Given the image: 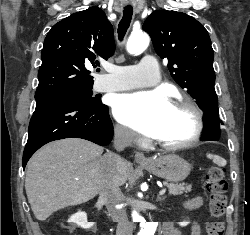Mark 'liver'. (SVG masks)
Segmentation results:
<instances>
[{"label": "liver", "mask_w": 250, "mask_h": 235, "mask_svg": "<svg viewBox=\"0 0 250 235\" xmlns=\"http://www.w3.org/2000/svg\"><path fill=\"white\" fill-rule=\"evenodd\" d=\"M103 148L79 138L47 144L29 160L25 189L31 209L39 221L55 211L82 204L99 191V171L104 167ZM130 164L122 160L114 180L118 186L129 177Z\"/></svg>", "instance_id": "6515ba94"}]
</instances>
